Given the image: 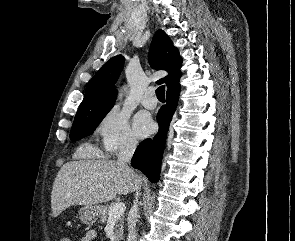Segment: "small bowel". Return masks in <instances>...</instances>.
I'll list each match as a JSON object with an SVG mask.
<instances>
[{
  "instance_id": "c3829d8e",
  "label": "small bowel",
  "mask_w": 295,
  "mask_h": 241,
  "mask_svg": "<svg viewBox=\"0 0 295 241\" xmlns=\"http://www.w3.org/2000/svg\"><path fill=\"white\" fill-rule=\"evenodd\" d=\"M97 237L95 230H87L82 237L81 241H94ZM60 241H71L69 238H62Z\"/></svg>"
}]
</instances>
